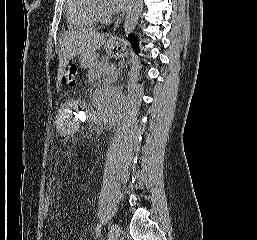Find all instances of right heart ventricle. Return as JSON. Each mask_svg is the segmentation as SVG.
I'll use <instances>...</instances> for the list:
<instances>
[{
	"instance_id": "right-heart-ventricle-1",
	"label": "right heart ventricle",
	"mask_w": 257,
	"mask_h": 240,
	"mask_svg": "<svg viewBox=\"0 0 257 240\" xmlns=\"http://www.w3.org/2000/svg\"><path fill=\"white\" fill-rule=\"evenodd\" d=\"M68 23L76 28L94 27L100 20L96 0H66Z\"/></svg>"
}]
</instances>
